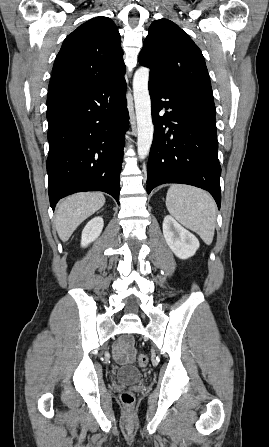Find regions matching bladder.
<instances>
[{
  "mask_svg": "<svg viewBox=\"0 0 269 447\" xmlns=\"http://www.w3.org/2000/svg\"><path fill=\"white\" fill-rule=\"evenodd\" d=\"M142 377L143 373L141 370L130 365L119 366L116 373V378L125 382H138Z\"/></svg>",
  "mask_w": 269,
  "mask_h": 447,
  "instance_id": "31cf9c89",
  "label": "bladder"
}]
</instances>
